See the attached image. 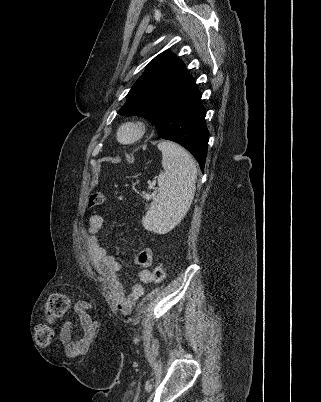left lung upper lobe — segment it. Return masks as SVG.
<instances>
[{"instance_id": "1", "label": "left lung upper lobe", "mask_w": 321, "mask_h": 402, "mask_svg": "<svg viewBox=\"0 0 321 402\" xmlns=\"http://www.w3.org/2000/svg\"><path fill=\"white\" fill-rule=\"evenodd\" d=\"M189 76L181 60L169 52L156 56L133 85L118 114L139 115L155 124L159 109L169 93Z\"/></svg>"}]
</instances>
